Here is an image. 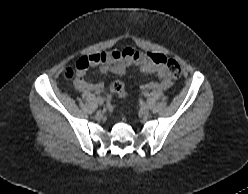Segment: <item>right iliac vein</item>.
<instances>
[{
	"instance_id": "1",
	"label": "right iliac vein",
	"mask_w": 248,
	"mask_h": 194,
	"mask_svg": "<svg viewBox=\"0 0 248 194\" xmlns=\"http://www.w3.org/2000/svg\"><path fill=\"white\" fill-rule=\"evenodd\" d=\"M103 103H104V101H103L102 98H97V104H98L99 106H102Z\"/></svg>"
}]
</instances>
